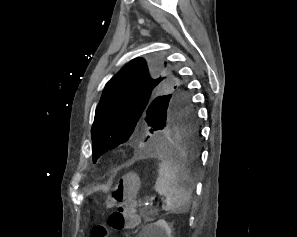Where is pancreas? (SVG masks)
<instances>
[{"label":"pancreas","instance_id":"1","mask_svg":"<svg viewBox=\"0 0 297 237\" xmlns=\"http://www.w3.org/2000/svg\"><path fill=\"white\" fill-rule=\"evenodd\" d=\"M147 214L148 215H156L157 211L156 210H150Z\"/></svg>","mask_w":297,"mask_h":237}]
</instances>
